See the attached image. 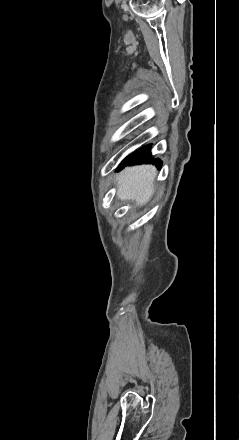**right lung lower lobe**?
<instances>
[{"mask_svg":"<svg viewBox=\"0 0 239 440\" xmlns=\"http://www.w3.org/2000/svg\"><path fill=\"white\" fill-rule=\"evenodd\" d=\"M150 148H151V145H147V146L139 149L135 153L131 154L130 156H128L121 163V166L119 167V169H121L125 165H134V164H141V163H153V164L157 165V167L160 168L162 161L160 159H155V160L151 159Z\"/></svg>","mask_w":239,"mask_h":440,"instance_id":"obj_1","label":"right lung lower lobe"}]
</instances>
